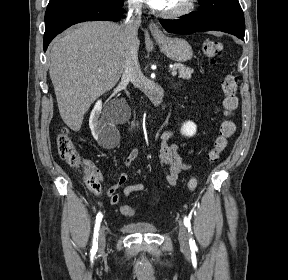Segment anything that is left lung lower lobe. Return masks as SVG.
Masks as SVG:
<instances>
[{
	"label": "left lung lower lobe",
	"mask_w": 288,
	"mask_h": 280,
	"mask_svg": "<svg viewBox=\"0 0 288 280\" xmlns=\"http://www.w3.org/2000/svg\"><path fill=\"white\" fill-rule=\"evenodd\" d=\"M160 23L171 33L191 34L194 32L216 30L235 35L239 39L244 40L245 29L239 28L229 21L204 14L199 9L186 15L184 18L178 20L164 19Z\"/></svg>",
	"instance_id": "0a47b994"
}]
</instances>
